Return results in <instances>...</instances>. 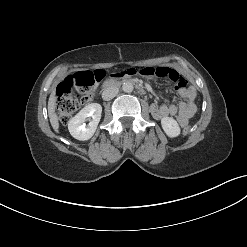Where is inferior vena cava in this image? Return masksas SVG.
I'll use <instances>...</instances> for the list:
<instances>
[{
	"label": "inferior vena cava",
	"instance_id": "obj_1",
	"mask_svg": "<svg viewBox=\"0 0 247 247\" xmlns=\"http://www.w3.org/2000/svg\"><path fill=\"white\" fill-rule=\"evenodd\" d=\"M118 92H119V89L117 87H114V86L107 87L102 92V98L103 100H106V101L111 100L118 94Z\"/></svg>",
	"mask_w": 247,
	"mask_h": 247
}]
</instances>
